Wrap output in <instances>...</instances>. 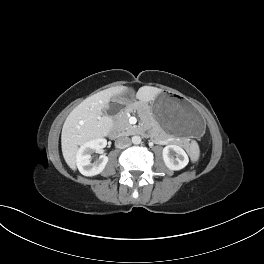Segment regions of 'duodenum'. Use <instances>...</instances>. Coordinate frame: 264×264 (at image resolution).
Masks as SVG:
<instances>
[{"instance_id":"1","label":"duodenum","mask_w":264,"mask_h":264,"mask_svg":"<svg viewBox=\"0 0 264 264\" xmlns=\"http://www.w3.org/2000/svg\"><path fill=\"white\" fill-rule=\"evenodd\" d=\"M119 108H121V106H119ZM110 136L113 137V138L119 136V131L117 129H115V128L111 129L110 130Z\"/></svg>"}]
</instances>
